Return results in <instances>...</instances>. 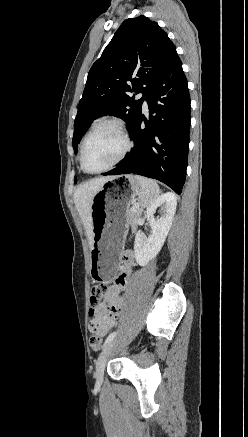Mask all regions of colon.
<instances>
[{
  "label": "colon",
  "mask_w": 248,
  "mask_h": 437,
  "mask_svg": "<svg viewBox=\"0 0 248 437\" xmlns=\"http://www.w3.org/2000/svg\"><path fill=\"white\" fill-rule=\"evenodd\" d=\"M107 287L106 286H97L93 285L91 288V315L94 316V310L95 307L101 303V301L104 299V296L106 294ZM97 326V322L93 318L90 322V328H95ZM102 344V337L99 336L94 332V334L90 337V346L93 350L97 351L99 350L100 346Z\"/></svg>",
  "instance_id": "5ec220e1"
}]
</instances>
